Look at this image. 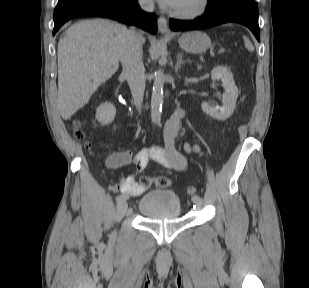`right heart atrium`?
Instances as JSON below:
<instances>
[{
    "label": "right heart atrium",
    "instance_id": "1",
    "mask_svg": "<svg viewBox=\"0 0 309 288\" xmlns=\"http://www.w3.org/2000/svg\"><path fill=\"white\" fill-rule=\"evenodd\" d=\"M138 3L144 8H150L153 5L152 0H138Z\"/></svg>",
    "mask_w": 309,
    "mask_h": 288
}]
</instances>
